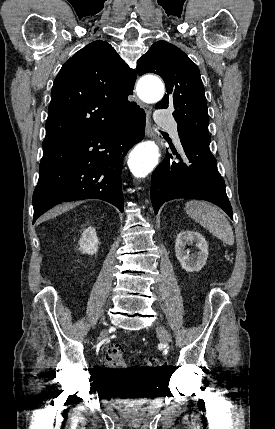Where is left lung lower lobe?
<instances>
[{
	"label": "left lung lower lobe",
	"instance_id": "obj_1",
	"mask_svg": "<svg viewBox=\"0 0 275 429\" xmlns=\"http://www.w3.org/2000/svg\"><path fill=\"white\" fill-rule=\"evenodd\" d=\"M179 137L185 160L172 150L179 161H174L167 152L162 163L152 173L150 195L155 213L164 202L191 198L209 201L233 219L224 180L209 149L210 142L186 133L179 134Z\"/></svg>",
	"mask_w": 275,
	"mask_h": 429
}]
</instances>
